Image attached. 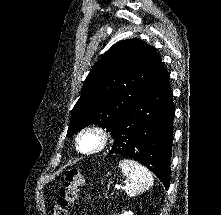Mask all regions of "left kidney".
Segmentation results:
<instances>
[{"instance_id":"5707ae66","label":"left kidney","mask_w":221,"mask_h":215,"mask_svg":"<svg viewBox=\"0 0 221 215\" xmlns=\"http://www.w3.org/2000/svg\"><path fill=\"white\" fill-rule=\"evenodd\" d=\"M121 215H134V214H133V212H131V211H128V212L126 211V212H124V213L121 214Z\"/></svg>"}]
</instances>
